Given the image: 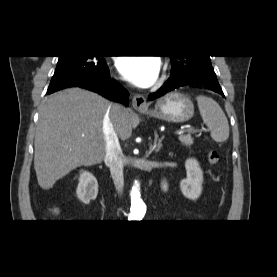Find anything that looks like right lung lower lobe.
Here are the masks:
<instances>
[{
    "instance_id": "1",
    "label": "right lung lower lobe",
    "mask_w": 277,
    "mask_h": 277,
    "mask_svg": "<svg viewBox=\"0 0 277 277\" xmlns=\"http://www.w3.org/2000/svg\"><path fill=\"white\" fill-rule=\"evenodd\" d=\"M68 87H83L90 91L96 92L102 96H105L111 100L123 103L125 106H128V91L124 87H122L117 81L109 77V70L106 73V75L98 81H78L63 88L48 90L47 94H51Z\"/></svg>"
}]
</instances>
